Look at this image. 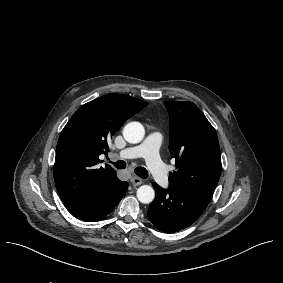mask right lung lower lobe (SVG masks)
Here are the masks:
<instances>
[{"mask_svg":"<svg viewBox=\"0 0 283 283\" xmlns=\"http://www.w3.org/2000/svg\"><path fill=\"white\" fill-rule=\"evenodd\" d=\"M128 189V183L118 181L115 188L102 194L99 199L84 206L68 209L80 220L95 222L107 216L123 198Z\"/></svg>","mask_w":283,"mask_h":283,"instance_id":"obj_1","label":"right lung lower lobe"}]
</instances>
